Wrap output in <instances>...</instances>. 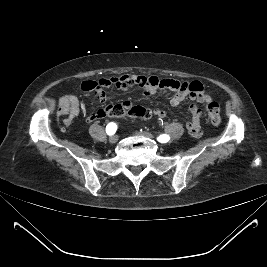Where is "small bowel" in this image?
<instances>
[{
  "mask_svg": "<svg viewBox=\"0 0 267 267\" xmlns=\"http://www.w3.org/2000/svg\"><path fill=\"white\" fill-rule=\"evenodd\" d=\"M114 86L121 90H128L134 86L142 89L144 96H150L157 92H174L170 99L173 107L179 106L186 98H190L194 103L189 107L190 120L186 123L188 132L194 136L201 135V120L203 117L201 109L197 103H208L211 97L206 93L204 86L199 81L180 82L173 79L158 78L156 76H139L133 74H125L118 77L103 78L100 80H87L82 83V90L92 95V100L96 103H105L108 100L104 89ZM115 107L127 109L131 107V103L127 100L121 104L109 105L101 108L96 112H92L85 116L86 121L93 122L107 115ZM81 104L77 96L65 95L58 103V116H65L63 123L68 126L79 115ZM152 114L158 118H165L166 113L160 108H155Z\"/></svg>",
  "mask_w": 267,
  "mask_h": 267,
  "instance_id": "obj_1",
  "label": "small bowel"
}]
</instances>
